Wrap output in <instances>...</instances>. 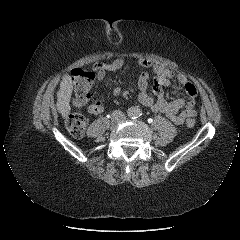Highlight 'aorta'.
Here are the masks:
<instances>
[{
  "mask_svg": "<svg viewBox=\"0 0 240 240\" xmlns=\"http://www.w3.org/2000/svg\"><path fill=\"white\" fill-rule=\"evenodd\" d=\"M139 114H140V111H139V109L136 108V107H130V108H128V110H127V115H128L130 118H136Z\"/></svg>",
  "mask_w": 240,
  "mask_h": 240,
  "instance_id": "aorta-1",
  "label": "aorta"
}]
</instances>
